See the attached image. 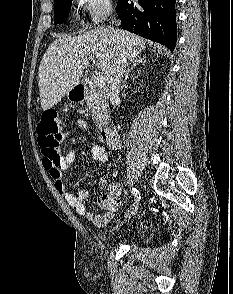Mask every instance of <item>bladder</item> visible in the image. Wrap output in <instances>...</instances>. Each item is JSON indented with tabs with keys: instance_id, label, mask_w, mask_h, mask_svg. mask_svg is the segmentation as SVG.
<instances>
[{
	"instance_id": "obj_1",
	"label": "bladder",
	"mask_w": 233,
	"mask_h": 294,
	"mask_svg": "<svg viewBox=\"0 0 233 294\" xmlns=\"http://www.w3.org/2000/svg\"><path fill=\"white\" fill-rule=\"evenodd\" d=\"M122 237H123V235H117V236H116V238H118V239H119V238H122Z\"/></svg>"
}]
</instances>
